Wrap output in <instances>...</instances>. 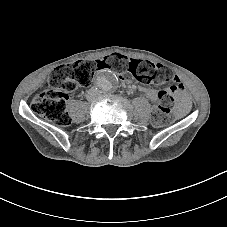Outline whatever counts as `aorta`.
<instances>
[{
  "instance_id": "aorta-1",
  "label": "aorta",
  "mask_w": 227,
  "mask_h": 227,
  "mask_svg": "<svg viewBox=\"0 0 227 227\" xmlns=\"http://www.w3.org/2000/svg\"><path fill=\"white\" fill-rule=\"evenodd\" d=\"M97 87L104 93L114 91L118 86V79L111 71H104L96 78Z\"/></svg>"
}]
</instances>
